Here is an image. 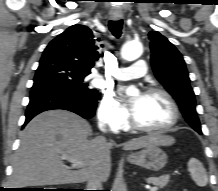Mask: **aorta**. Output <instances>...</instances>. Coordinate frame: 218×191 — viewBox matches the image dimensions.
Returning a JSON list of instances; mask_svg holds the SVG:
<instances>
[{
	"instance_id": "1",
	"label": "aorta",
	"mask_w": 218,
	"mask_h": 191,
	"mask_svg": "<svg viewBox=\"0 0 218 191\" xmlns=\"http://www.w3.org/2000/svg\"><path fill=\"white\" fill-rule=\"evenodd\" d=\"M143 53V47L140 42L131 41L127 42L122 46L121 57L126 61H134L138 59ZM126 94L129 96H136L139 91L134 86L127 89Z\"/></svg>"
}]
</instances>
